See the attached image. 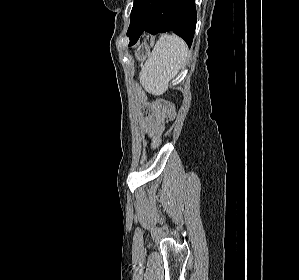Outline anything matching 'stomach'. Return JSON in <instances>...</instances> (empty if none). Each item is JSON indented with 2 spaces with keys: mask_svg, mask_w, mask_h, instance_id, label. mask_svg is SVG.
<instances>
[{
  "mask_svg": "<svg viewBox=\"0 0 299 280\" xmlns=\"http://www.w3.org/2000/svg\"><path fill=\"white\" fill-rule=\"evenodd\" d=\"M137 59L141 62L146 60L150 56L149 46L144 43L137 49L136 52Z\"/></svg>",
  "mask_w": 299,
  "mask_h": 280,
  "instance_id": "1",
  "label": "stomach"
}]
</instances>
